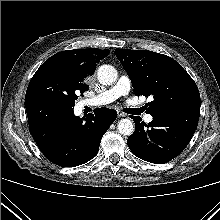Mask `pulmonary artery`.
I'll list each match as a JSON object with an SVG mask.
<instances>
[{
	"label": "pulmonary artery",
	"mask_w": 220,
	"mask_h": 220,
	"mask_svg": "<svg viewBox=\"0 0 220 220\" xmlns=\"http://www.w3.org/2000/svg\"><path fill=\"white\" fill-rule=\"evenodd\" d=\"M131 89V82L128 76L122 75L119 80L111 88L103 91L102 93L87 99L85 103L89 106H102L107 105L121 96H127ZM145 122L149 123L153 120L150 114L144 116Z\"/></svg>",
	"instance_id": "pulmonary-artery-1"
}]
</instances>
